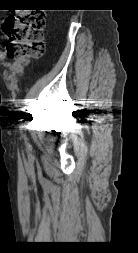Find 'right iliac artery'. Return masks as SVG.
I'll list each match as a JSON object with an SVG mask.
<instances>
[{
    "label": "right iliac artery",
    "instance_id": "1",
    "mask_svg": "<svg viewBox=\"0 0 138 253\" xmlns=\"http://www.w3.org/2000/svg\"><path fill=\"white\" fill-rule=\"evenodd\" d=\"M21 129H24L23 124H20ZM21 138H24V132H21Z\"/></svg>",
    "mask_w": 138,
    "mask_h": 253
}]
</instances>
